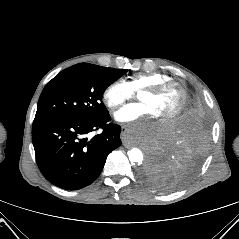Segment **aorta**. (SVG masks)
<instances>
[{
  "instance_id": "762f6f07",
  "label": "aorta",
  "mask_w": 239,
  "mask_h": 239,
  "mask_svg": "<svg viewBox=\"0 0 239 239\" xmlns=\"http://www.w3.org/2000/svg\"><path fill=\"white\" fill-rule=\"evenodd\" d=\"M128 157L130 162L142 164L144 160V155L139 148H132L128 151Z\"/></svg>"
}]
</instances>
